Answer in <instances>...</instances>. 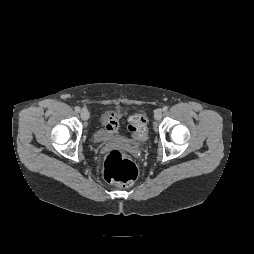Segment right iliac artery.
Wrapping results in <instances>:
<instances>
[{"mask_svg":"<svg viewBox=\"0 0 254 254\" xmlns=\"http://www.w3.org/2000/svg\"><path fill=\"white\" fill-rule=\"evenodd\" d=\"M75 111L76 112H80V108L77 106V107H75Z\"/></svg>","mask_w":254,"mask_h":254,"instance_id":"right-iliac-artery-1","label":"right iliac artery"}]
</instances>
